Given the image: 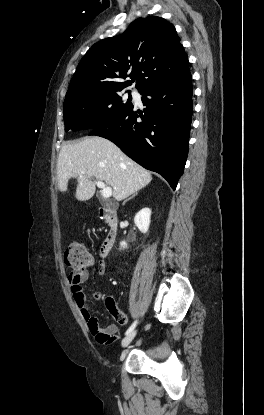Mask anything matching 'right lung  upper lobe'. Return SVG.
I'll use <instances>...</instances> for the list:
<instances>
[{
    "label": "right lung upper lobe",
    "mask_w": 264,
    "mask_h": 415,
    "mask_svg": "<svg viewBox=\"0 0 264 415\" xmlns=\"http://www.w3.org/2000/svg\"><path fill=\"white\" fill-rule=\"evenodd\" d=\"M190 71L174 26L148 16L135 20L124 34L94 44L81 59L65 99L119 92L136 80L142 92L151 85L178 79ZM130 77L132 80L120 82Z\"/></svg>",
    "instance_id": "cb5924a9"
}]
</instances>
